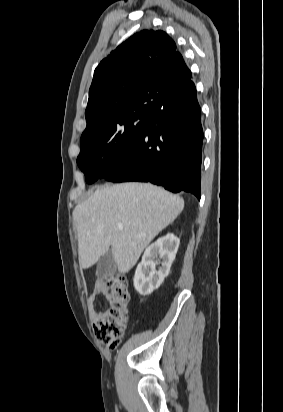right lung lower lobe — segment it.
<instances>
[{
  "mask_svg": "<svg viewBox=\"0 0 283 412\" xmlns=\"http://www.w3.org/2000/svg\"><path fill=\"white\" fill-rule=\"evenodd\" d=\"M202 142L201 109L189 79L167 97L128 152L99 178L151 182L200 199Z\"/></svg>",
  "mask_w": 283,
  "mask_h": 412,
  "instance_id": "98d812e1",
  "label": "right lung lower lobe"
}]
</instances>
